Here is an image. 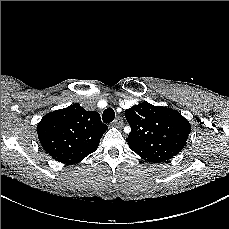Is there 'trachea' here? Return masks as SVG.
<instances>
[{"label": "trachea", "instance_id": "1", "mask_svg": "<svg viewBox=\"0 0 229 229\" xmlns=\"http://www.w3.org/2000/svg\"><path fill=\"white\" fill-rule=\"evenodd\" d=\"M115 118V112L112 108H107L102 114V120L104 123H111Z\"/></svg>", "mask_w": 229, "mask_h": 229}]
</instances>
